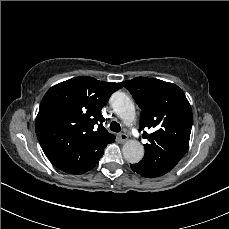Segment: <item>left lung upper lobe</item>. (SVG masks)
I'll use <instances>...</instances> for the list:
<instances>
[{"mask_svg": "<svg viewBox=\"0 0 229 229\" xmlns=\"http://www.w3.org/2000/svg\"><path fill=\"white\" fill-rule=\"evenodd\" d=\"M142 109L139 130L143 132L145 155L138 164L159 177L172 170L185 155L193 116L184 92L175 84L153 78L136 77L121 83Z\"/></svg>", "mask_w": 229, "mask_h": 229, "instance_id": "5c2ea615", "label": "left lung upper lobe"}]
</instances>
